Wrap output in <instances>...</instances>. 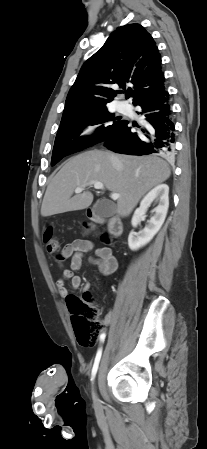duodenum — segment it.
Instances as JSON below:
<instances>
[{"label": "duodenum", "instance_id": "1", "mask_svg": "<svg viewBox=\"0 0 207 449\" xmlns=\"http://www.w3.org/2000/svg\"><path fill=\"white\" fill-rule=\"evenodd\" d=\"M89 216H90L91 220L95 223L102 222V218L95 213H90ZM108 229L113 236H115V237L120 236L123 231V225H122L121 220L118 217H112V218L108 219Z\"/></svg>", "mask_w": 207, "mask_h": 449}]
</instances>
